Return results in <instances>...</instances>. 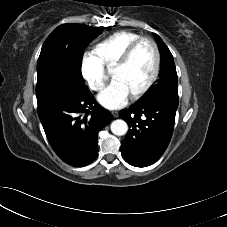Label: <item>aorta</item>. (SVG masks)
Returning <instances> with one entry per match:
<instances>
[{
    "label": "aorta",
    "instance_id": "aorta-1",
    "mask_svg": "<svg viewBox=\"0 0 227 227\" xmlns=\"http://www.w3.org/2000/svg\"><path fill=\"white\" fill-rule=\"evenodd\" d=\"M111 131L113 134L117 136H122L127 133L128 125L124 120L121 119L114 120L111 123Z\"/></svg>",
    "mask_w": 227,
    "mask_h": 227
}]
</instances>
